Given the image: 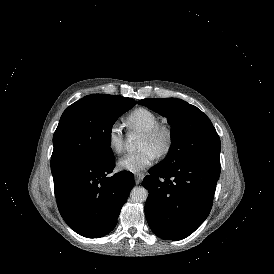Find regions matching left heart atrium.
<instances>
[{
    "mask_svg": "<svg viewBox=\"0 0 274 274\" xmlns=\"http://www.w3.org/2000/svg\"><path fill=\"white\" fill-rule=\"evenodd\" d=\"M155 158L156 153L144 147L121 155L117 160V167L122 171L139 172L152 165Z\"/></svg>",
    "mask_w": 274,
    "mask_h": 274,
    "instance_id": "39dd6f15",
    "label": "left heart atrium"
}]
</instances>
